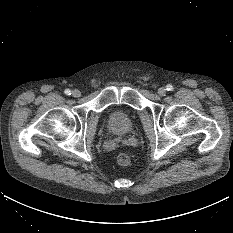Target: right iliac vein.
I'll return each instance as SVG.
<instances>
[{
    "mask_svg": "<svg viewBox=\"0 0 233 233\" xmlns=\"http://www.w3.org/2000/svg\"><path fill=\"white\" fill-rule=\"evenodd\" d=\"M80 95H81V92L78 89H74L72 91V96L73 97H80Z\"/></svg>",
    "mask_w": 233,
    "mask_h": 233,
    "instance_id": "1",
    "label": "right iliac vein"
}]
</instances>
